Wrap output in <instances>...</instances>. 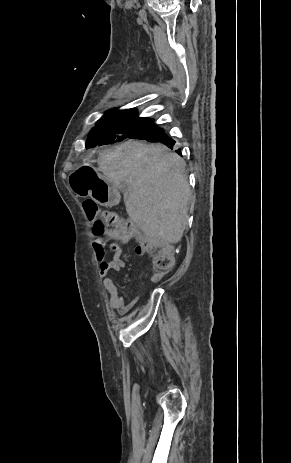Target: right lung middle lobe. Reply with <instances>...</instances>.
Segmentation results:
<instances>
[{
    "instance_id": "1",
    "label": "right lung middle lobe",
    "mask_w": 291,
    "mask_h": 463,
    "mask_svg": "<svg viewBox=\"0 0 291 463\" xmlns=\"http://www.w3.org/2000/svg\"><path fill=\"white\" fill-rule=\"evenodd\" d=\"M163 129L153 124V119L135 116L105 114L94 127L86 142V148L122 142L126 139H148Z\"/></svg>"
}]
</instances>
